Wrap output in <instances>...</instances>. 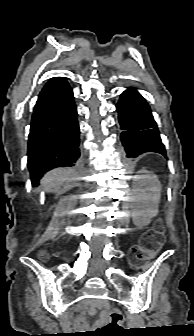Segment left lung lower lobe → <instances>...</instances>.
I'll return each instance as SVG.
<instances>
[{
    "label": "left lung lower lobe",
    "instance_id": "1",
    "mask_svg": "<svg viewBox=\"0 0 194 336\" xmlns=\"http://www.w3.org/2000/svg\"><path fill=\"white\" fill-rule=\"evenodd\" d=\"M121 141L126 157L135 158L144 152H156L166 157L156 122L145 99L135 90L124 91L117 104Z\"/></svg>",
    "mask_w": 194,
    "mask_h": 336
}]
</instances>
